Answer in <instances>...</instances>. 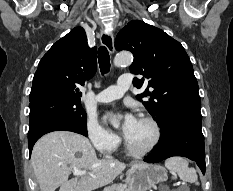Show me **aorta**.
<instances>
[{"mask_svg": "<svg viewBox=\"0 0 233 191\" xmlns=\"http://www.w3.org/2000/svg\"><path fill=\"white\" fill-rule=\"evenodd\" d=\"M132 62H133V56L130 52L127 51L119 52L114 59V64L117 67L128 66ZM112 124L115 127L118 126V123L116 121H113Z\"/></svg>", "mask_w": 233, "mask_h": 191, "instance_id": "762f6f07", "label": "aorta"}]
</instances>
